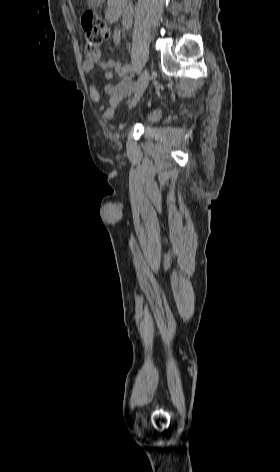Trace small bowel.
<instances>
[{"label": "small bowel", "instance_id": "1", "mask_svg": "<svg viewBox=\"0 0 280 472\" xmlns=\"http://www.w3.org/2000/svg\"><path fill=\"white\" fill-rule=\"evenodd\" d=\"M99 66L105 71V79L108 82L104 86V92L108 98V107L100 104L101 95L95 84L90 85L89 94L91 100L99 105L105 119H110L113 116V108L118 104L120 98L130 92L133 88L132 82L129 78H125L120 83H112L110 80L113 77V71L122 74V64L109 59L101 60L99 52L92 57H88L82 64V68L85 72H90L95 66Z\"/></svg>", "mask_w": 280, "mask_h": 472}]
</instances>
